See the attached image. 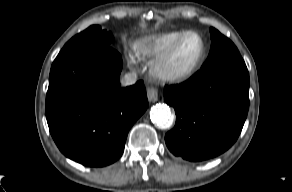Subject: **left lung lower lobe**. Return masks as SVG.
Returning <instances> with one entry per match:
<instances>
[{
	"instance_id": "0a47b994",
	"label": "left lung lower lobe",
	"mask_w": 292,
	"mask_h": 192,
	"mask_svg": "<svg viewBox=\"0 0 292 192\" xmlns=\"http://www.w3.org/2000/svg\"><path fill=\"white\" fill-rule=\"evenodd\" d=\"M165 101L175 109V127L165 135L169 150L189 161L220 155L237 140L249 108L245 63L204 68L190 79L165 86Z\"/></svg>"
}]
</instances>
